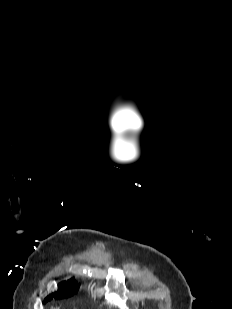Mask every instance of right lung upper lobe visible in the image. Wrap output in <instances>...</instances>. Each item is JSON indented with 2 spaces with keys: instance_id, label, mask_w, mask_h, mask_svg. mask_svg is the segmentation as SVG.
Instances as JSON below:
<instances>
[{
  "instance_id": "right-lung-upper-lobe-1",
  "label": "right lung upper lobe",
  "mask_w": 232,
  "mask_h": 309,
  "mask_svg": "<svg viewBox=\"0 0 232 309\" xmlns=\"http://www.w3.org/2000/svg\"><path fill=\"white\" fill-rule=\"evenodd\" d=\"M72 284H75V279L74 278H72V279H70V280H68L67 282H63V283H61L59 286H64V287H68V286H70V285H72ZM76 288V292L74 293V294H76L77 293V291H78V288L77 287H75ZM73 294V295H74ZM72 295V296H73ZM47 298H55V299H60V298H68V297H63V296H59V295H56L55 297H52V296H49V297H47Z\"/></svg>"
}]
</instances>
